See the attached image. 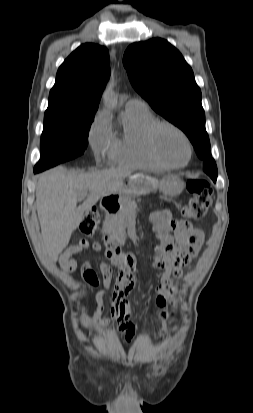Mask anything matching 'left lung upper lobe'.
Returning a JSON list of instances; mask_svg holds the SVG:
<instances>
[{
    "instance_id": "5c2ea615",
    "label": "left lung upper lobe",
    "mask_w": 253,
    "mask_h": 413,
    "mask_svg": "<svg viewBox=\"0 0 253 413\" xmlns=\"http://www.w3.org/2000/svg\"><path fill=\"white\" fill-rule=\"evenodd\" d=\"M123 64L135 90L157 113L188 136L203 160V170L212 180L217 179L201 91L181 53L166 40L153 38L131 44L124 53Z\"/></svg>"
}]
</instances>
